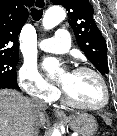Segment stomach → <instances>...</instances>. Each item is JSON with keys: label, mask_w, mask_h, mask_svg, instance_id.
Masks as SVG:
<instances>
[{"label": "stomach", "mask_w": 117, "mask_h": 136, "mask_svg": "<svg viewBox=\"0 0 117 136\" xmlns=\"http://www.w3.org/2000/svg\"><path fill=\"white\" fill-rule=\"evenodd\" d=\"M70 128L81 136H93L97 131L95 118L87 113H78L67 119Z\"/></svg>", "instance_id": "0dacf381"}]
</instances>
